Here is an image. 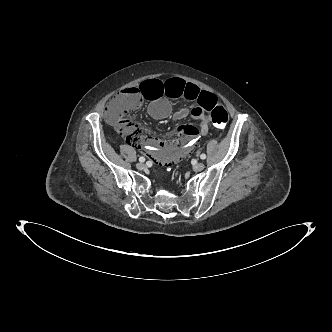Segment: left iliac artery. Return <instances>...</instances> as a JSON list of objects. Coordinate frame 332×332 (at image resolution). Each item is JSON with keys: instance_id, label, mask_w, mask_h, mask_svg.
<instances>
[{"instance_id": "left-iliac-artery-1", "label": "left iliac artery", "mask_w": 332, "mask_h": 332, "mask_svg": "<svg viewBox=\"0 0 332 332\" xmlns=\"http://www.w3.org/2000/svg\"><path fill=\"white\" fill-rule=\"evenodd\" d=\"M200 158H201L202 160H204V159H206V155L203 153V154L200 155Z\"/></svg>"}]
</instances>
